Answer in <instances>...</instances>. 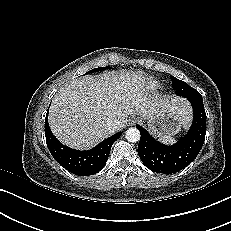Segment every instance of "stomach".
<instances>
[{
	"mask_svg": "<svg viewBox=\"0 0 231 231\" xmlns=\"http://www.w3.org/2000/svg\"><path fill=\"white\" fill-rule=\"evenodd\" d=\"M149 130L155 136L174 135L180 130L179 115L170 108L146 118Z\"/></svg>",
	"mask_w": 231,
	"mask_h": 231,
	"instance_id": "stomach-1",
	"label": "stomach"
}]
</instances>
